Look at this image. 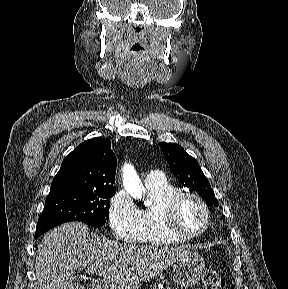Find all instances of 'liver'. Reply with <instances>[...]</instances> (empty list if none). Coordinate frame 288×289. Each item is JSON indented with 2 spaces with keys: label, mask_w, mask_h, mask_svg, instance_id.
Listing matches in <instances>:
<instances>
[{
  "label": "liver",
  "mask_w": 288,
  "mask_h": 289,
  "mask_svg": "<svg viewBox=\"0 0 288 289\" xmlns=\"http://www.w3.org/2000/svg\"><path fill=\"white\" fill-rule=\"evenodd\" d=\"M191 253L181 248L138 246L90 235L81 222L62 224L47 232L38 245L36 277L39 289H84L75 269L96 273L103 289H139Z\"/></svg>",
  "instance_id": "liver-1"
}]
</instances>
